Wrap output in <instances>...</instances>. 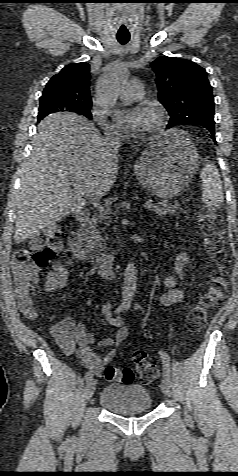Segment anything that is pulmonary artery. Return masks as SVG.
<instances>
[{
	"mask_svg": "<svg viewBox=\"0 0 238 476\" xmlns=\"http://www.w3.org/2000/svg\"><path fill=\"white\" fill-rule=\"evenodd\" d=\"M143 95V84L139 80H130L124 85L119 97L123 102L130 103L141 99Z\"/></svg>",
	"mask_w": 238,
	"mask_h": 476,
	"instance_id": "pulmonary-artery-1",
	"label": "pulmonary artery"
}]
</instances>
